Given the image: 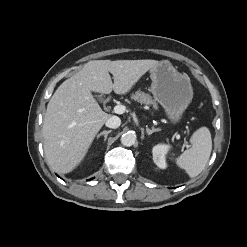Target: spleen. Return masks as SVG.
<instances>
[{
  "mask_svg": "<svg viewBox=\"0 0 247 247\" xmlns=\"http://www.w3.org/2000/svg\"><path fill=\"white\" fill-rule=\"evenodd\" d=\"M190 149L185 150L178 158L177 165L190 177H196L205 168L212 150L211 134L207 127H201L191 136Z\"/></svg>",
  "mask_w": 247,
  "mask_h": 247,
  "instance_id": "obj_1",
  "label": "spleen"
}]
</instances>
